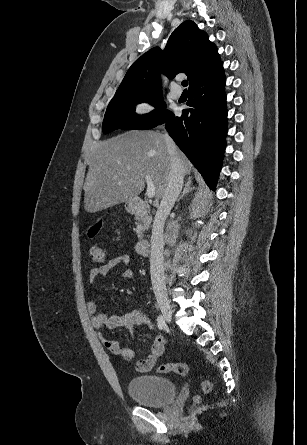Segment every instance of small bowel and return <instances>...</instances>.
<instances>
[{"label":"small bowel","mask_w":307,"mask_h":445,"mask_svg":"<svg viewBox=\"0 0 307 445\" xmlns=\"http://www.w3.org/2000/svg\"><path fill=\"white\" fill-rule=\"evenodd\" d=\"M131 262L130 255L120 254L112 258L107 264L102 267L92 268L87 280L90 284H94L98 277L107 275L111 270L118 266H128ZM123 276L131 279L133 274L130 269L124 271ZM87 310L92 316L93 326L103 333L106 330L125 328L132 334L141 327H152L149 317L141 311L140 307H135L129 312L117 313L108 315L100 311L99 304L95 301L87 303ZM105 347L113 354L120 355L125 361H131L134 358V351L127 347H121L118 342L102 337ZM164 351V338L161 335H156L153 338L150 352L146 358L136 362V369L139 372L150 371Z\"/></svg>","instance_id":"obj_1"}]
</instances>
